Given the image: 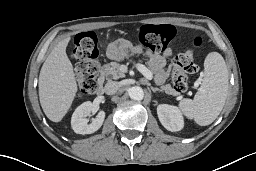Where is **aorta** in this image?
<instances>
[{"instance_id": "aorta-1", "label": "aorta", "mask_w": 256, "mask_h": 171, "mask_svg": "<svg viewBox=\"0 0 256 171\" xmlns=\"http://www.w3.org/2000/svg\"><path fill=\"white\" fill-rule=\"evenodd\" d=\"M129 96L135 101H141L144 98V91L139 86H133L129 89Z\"/></svg>"}]
</instances>
